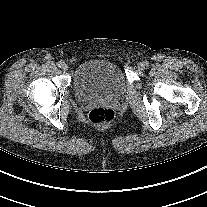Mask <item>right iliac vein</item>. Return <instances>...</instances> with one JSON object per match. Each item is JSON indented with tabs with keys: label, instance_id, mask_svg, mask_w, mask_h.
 <instances>
[{
	"label": "right iliac vein",
	"instance_id": "obj_1",
	"mask_svg": "<svg viewBox=\"0 0 207 207\" xmlns=\"http://www.w3.org/2000/svg\"><path fill=\"white\" fill-rule=\"evenodd\" d=\"M61 69L63 71H66L68 69V65L66 63H63L62 66H61Z\"/></svg>",
	"mask_w": 207,
	"mask_h": 207
}]
</instances>
